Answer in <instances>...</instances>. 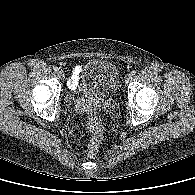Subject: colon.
<instances>
[{"label": "colon", "mask_w": 195, "mask_h": 195, "mask_svg": "<svg viewBox=\"0 0 195 195\" xmlns=\"http://www.w3.org/2000/svg\"><path fill=\"white\" fill-rule=\"evenodd\" d=\"M87 126L91 133L88 155L94 157L97 154L98 146L102 138V124L97 116L90 115L88 117Z\"/></svg>", "instance_id": "5ec220e1"}]
</instances>
